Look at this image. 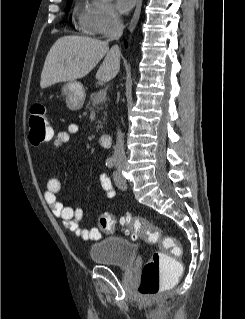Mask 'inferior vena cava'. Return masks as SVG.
I'll return each mask as SVG.
<instances>
[{"mask_svg":"<svg viewBox=\"0 0 245 319\" xmlns=\"http://www.w3.org/2000/svg\"><path fill=\"white\" fill-rule=\"evenodd\" d=\"M112 25L113 27L109 35V40H119L122 36L124 26L117 14L113 15ZM112 50L120 56V49L118 45H114ZM114 160L118 163L126 161L124 135L119 129L117 130L116 146L114 148Z\"/></svg>","mask_w":245,"mask_h":319,"instance_id":"602c4592","label":"inferior vena cava"}]
</instances>
